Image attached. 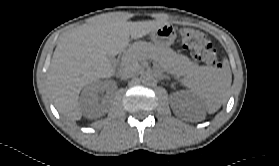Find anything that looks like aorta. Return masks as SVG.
<instances>
[{
	"mask_svg": "<svg viewBox=\"0 0 279 166\" xmlns=\"http://www.w3.org/2000/svg\"><path fill=\"white\" fill-rule=\"evenodd\" d=\"M142 82L146 85H150L154 82V77L151 74L143 75Z\"/></svg>",
	"mask_w": 279,
	"mask_h": 166,
	"instance_id": "762f6f07",
	"label": "aorta"
}]
</instances>
